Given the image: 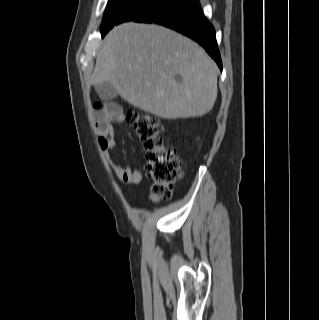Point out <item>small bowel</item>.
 <instances>
[{"label":"small bowel","mask_w":319,"mask_h":320,"mask_svg":"<svg viewBox=\"0 0 319 320\" xmlns=\"http://www.w3.org/2000/svg\"><path fill=\"white\" fill-rule=\"evenodd\" d=\"M97 108L95 128L97 132V144L100 150L103 152L112 172L119 180L131 185H138L142 180V172L130 166L115 164L109 153L116 145L113 123H119L124 120L121 107L114 103H108L104 107L99 106Z\"/></svg>","instance_id":"small-bowel-1"}]
</instances>
